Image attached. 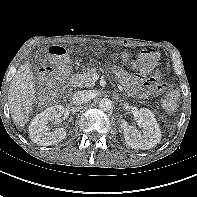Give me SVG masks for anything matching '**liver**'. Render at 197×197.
I'll return each mask as SVG.
<instances>
[{"instance_id":"1","label":"liver","mask_w":197,"mask_h":197,"mask_svg":"<svg viewBox=\"0 0 197 197\" xmlns=\"http://www.w3.org/2000/svg\"><path fill=\"white\" fill-rule=\"evenodd\" d=\"M35 78L31 64L24 63L17 70L9 86V109L13 122L23 127L29 120L35 96Z\"/></svg>"}]
</instances>
